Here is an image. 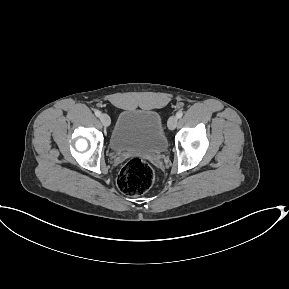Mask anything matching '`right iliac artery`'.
<instances>
[{
	"mask_svg": "<svg viewBox=\"0 0 289 289\" xmlns=\"http://www.w3.org/2000/svg\"><path fill=\"white\" fill-rule=\"evenodd\" d=\"M94 113L97 117H100V115H101V112L99 110H95Z\"/></svg>",
	"mask_w": 289,
	"mask_h": 289,
	"instance_id": "1",
	"label": "right iliac artery"
}]
</instances>
